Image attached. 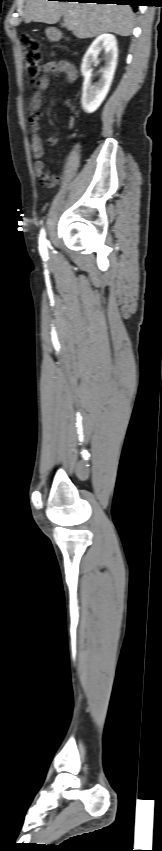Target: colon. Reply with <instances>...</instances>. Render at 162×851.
<instances>
[{"label": "colon", "instance_id": "colon-1", "mask_svg": "<svg viewBox=\"0 0 162 851\" xmlns=\"http://www.w3.org/2000/svg\"><path fill=\"white\" fill-rule=\"evenodd\" d=\"M20 45L25 76L29 83L34 85L43 70L39 43L31 35L23 34L20 37Z\"/></svg>", "mask_w": 162, "mask_h": 851}]
</instances>
